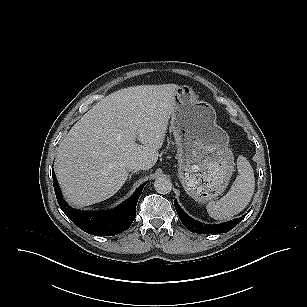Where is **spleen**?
<instances>
[{
	"label": "spleen",
	"mask_w": 307,
	"mask_h": 307,
	"mask_svg": "<svg viewBox=\"0 0 307 307\" xmlns=\"http://www.w3.org/2000/svg\"><path fill=\"white\" fill-rule=\"evenodd\" d=\"M237 175L228 193L218 201L209 202L207 212L216 220H227L243 211L254 194L255 178L253 168L242 155L237 159Z\"/></svg>",
	"instance_id": "obj_1"
}]
</instances>
